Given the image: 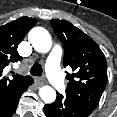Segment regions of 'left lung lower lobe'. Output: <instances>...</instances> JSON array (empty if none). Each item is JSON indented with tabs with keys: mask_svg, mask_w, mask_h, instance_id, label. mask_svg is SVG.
<instances>
[{
	"mask_svg": "<svg viewBox=\"0 0 117 117\" xmlns=\"http://www.w3.org/2000/svg\"><path fill=\"white\" fill-rule=\"evenodd\" d=\"M44 113L47 117H87L91 112L57 92L56 101L45 105Z\"/></svg>",
	"mask_w": 117,
	"mask_h": 117,
	"instance_id": "left-lung-lower-lobe-1",
	"label": "left lung lower lobe"
}]
</instances>
